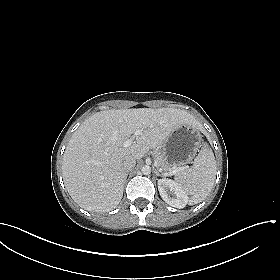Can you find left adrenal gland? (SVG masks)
I'll return each mask as SVG.
<instances>
[{
    "instance_id": "1",
    "label": "left adrenal gland",
    "mask_w": 280,
    "mask_h": 280,
    "mask_svg": "<svg viewBox=\"0 0 280 280\" xmlns=\"http://www.w3.org/2000/svg\"><path fill=\"white\" fill-rule=\"evenodd\" d=\"M154 173L156 174V176H162V177H164V175H163V174H160L159 171H158L157 169H154Z\"/></svg>"
}]
</instances>
